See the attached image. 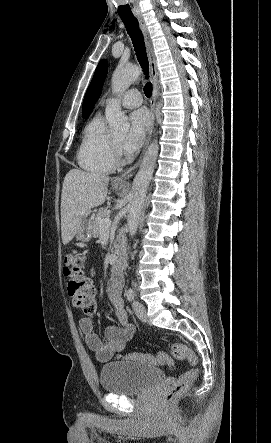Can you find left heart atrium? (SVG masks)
Wrapping results in <instances>:
<instances>
[{"mask_svg": "<svg viewBox=\"0 0 271 443\" xmlns=\"http://www.w3.org/2000/svg\"><path fill=\"white\" fill-rule=\"evenodd\" d=\"M130 129L124 137L121 146L126 154L137 152L143 145L150 128V119L145 109L134 110L129 115Z\"/></svg>", "mask_w": 271, "mask_h": 443, "instance_id": "obj_1", "label": "left heart atrium"}]
</instances>
